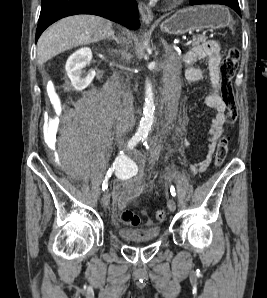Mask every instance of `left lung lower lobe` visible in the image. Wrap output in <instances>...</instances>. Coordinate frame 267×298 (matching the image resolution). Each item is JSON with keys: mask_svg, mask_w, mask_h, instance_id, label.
Returning <instances> with one entry per match:
<instances>
[{"mask_svg": "<svg viewBox=\"0 0 267 298\" xmlns=\"http://www.w3.org/2000/svg\"><path fill=\"white\" fill-rule=\"evenodd\" d=\"M198 4H222L231 7L235 10L240 16V8L238 4V0H191L190 5H198Z\"/></svg>", "mask_w": 267, "mask_h": 298, "instance_id": "0a47b994", "label": "left lung lower lobe"}]
</instances>
